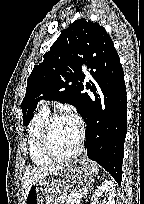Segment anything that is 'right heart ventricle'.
<instances>
[{"instance_id":"1","label":"right heart ventricle","mask_w":144,"mask_h":204,"mask_svg":"<svg viewBox=\"0 0 144 204\" xmlns=\"http://www.w3.org/2000/svg\"><path fill=\"white\" fill-rule=\"evenodd\" d=\"M50 111L47 107H41L32 117L27 135L28 151L31 161L35 165H48L53 162L42 150L41 134Z\"/></svg>"}]
</instances>
